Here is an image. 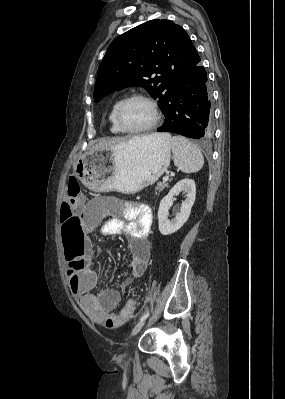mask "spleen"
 <instances>
[{
  "label": "spleen",
  "mask_w": 285,
  "mask_h": 399,
  "mask_svg": "<svg viewBox=\"0 0 285 399\" xmlns=\"http://www.w3.org/2000/svg\"><path fill=\"white\" fill-rule=\"evenodd\" d=\"M174 164L184 173L198 172L204 165V157L196 145L182 136L171 138Z\"/></svg>",
  "instance_id": "1"
}]
</instances>
